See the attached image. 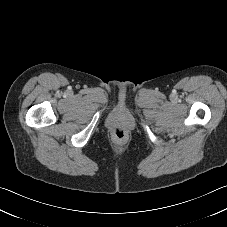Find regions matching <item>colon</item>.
<instances>
[{
  "mask_svg": "<svg viewBox=\"0 0 227 227\" xmlns=\"http://www.w3.org/2000/svg\"><path fill=\"white\" fill-rule=\"evenodd\" d=\"M119 136H124L125 132L124 130H117L116 132Z\"/></svg>",
  "mask_w": 227,
  "mask_h": 227,
  "instance_id": "1",
  "label": "colon"
}]
</instances>
